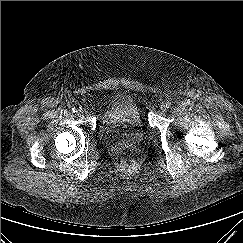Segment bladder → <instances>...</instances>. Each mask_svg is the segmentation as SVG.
<instances>
[{
  "label": "bladder",
  "mask_w": 243,
  "mask_h": 243,
  "mask_svg": "<svg viewBox=\"0 0 243 243\" xmlns=\"http://www.w3.org/2000/svg\"><path fill=\"white\" fill-rule=\"evenodd\" d=\"M98 137L104 144L135 146L145 137V130L139 107L126 93L114 94L103 111Z\"/></svg>",
  "instance_id": "1"
}]
</instances>
